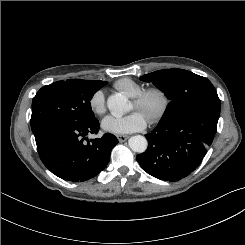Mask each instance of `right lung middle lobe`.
Returning <instances> with one entry per match:
<instances>
[{
    "instance_id": "obj_1",
    "label": "right lung middle lobe",
    "mask_w": 245,
    "mask_h": 245,
    "mask_svg": "<svg viewBox=\"0 0 245 245\" xmlns=\"http://www.w3.org/2000/svg\"><path fill=\"white\" fill-rule=\"evenodd\" d=\"M106 83L100 80L69 79L42 87L32 101V132L47 122L77 126L97 120L90 100Z\"/></svg>"
}]
</instances>
